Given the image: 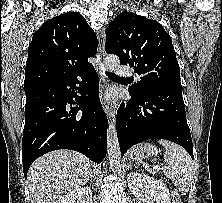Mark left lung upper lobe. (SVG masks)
<instances>
[{"mask_svg":"<svg viewBox=\"0 0 222 203\" xmlns=\"http://www.w3.org/2000/svg\"><path fill=\"white\" fill-rule=\"evenodd\" d=\"M106 36V52L118 55L121 64H129L141 76L129 87L131 93L140 95L159 85L182 88L171 38L160 23L122 12L107 27Z\"/></svg>","mask_w":222,"mask_h":203,"instance_id":"1","label":"left lung upper lobe"}]
</instances>
